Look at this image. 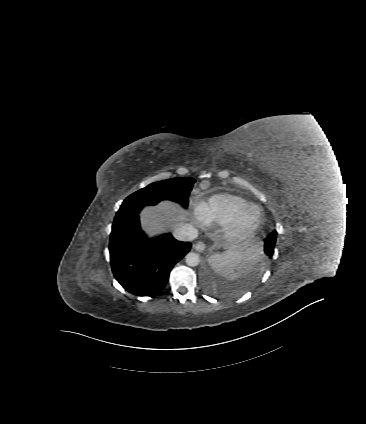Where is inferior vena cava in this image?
<instances>
[{"label":"inferior vena cava","mask_w":366,"mask_h":424,"mask_svg":"<svg viewBox=\"0 0 366 424\" xmlns=\"http://www.w3.org/2000/svg\"><path fill=\"white\" fill-rule=\"evenodd\" d=\"M174 236L179 241H192L198 236V230L192 224H183L174 230Z\"/></svg>","instance_id":"602c4592"}]
</instances>
